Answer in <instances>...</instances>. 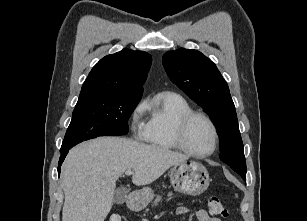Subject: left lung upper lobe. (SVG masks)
Listing matches in <instances>:
<instances>
[{"instance_id": "1", "label": "left lung upper lobe", "mask_w": 307, "mask_h": 221, "mask_svg": "<svg viewBox=\"0 0 307 221\" xmlns=\"http://www.w3.org/2000/svg\"><path fill=\"white\" fill-rule=\"evenodd\" d=\"M170 78L215 122L220 139V159L246 175L244 147L228 85L216 65L197 50L180 48L164 54Z\"/></svg>"}]
</instances>
